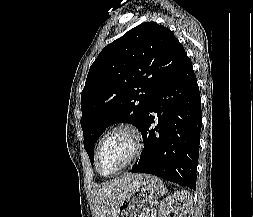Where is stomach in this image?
<instances>
[{
  "label": "stomach",
  "mask_w": 253,
  "mask_h": 217,
  "mask_svg": "<svg viewBox=\"0 0 253 217\" xmlns=\"http://www.w3.org/2000/svg\"><path fill=\"white\" fill-rule=\"evenodd\" d=\"M159 193L160 185L155 178L142 174L121 203L116 217H145Z\"/></svg>",
  "instance_id": "stomach-1"
}]
</instances>
